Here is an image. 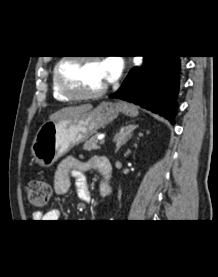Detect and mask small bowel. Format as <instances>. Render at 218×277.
<instances>
[{
	"instance_id": "1",
	"label": "small bowel",
	"mask_w": 218,
	"mask_h": 277,
	"mask_svg": "<svg viewBox=\"0 0 218 277\" xmlns=\"http://www.w3.org/2000/svg\"><path fill=\"white\" fill-rule=\"evenodd\" d=\"M105 158V157H104ZM89 170H96L104 177H110L111 164L99 162L98 157L89 160H80L74 157L63 159L54 174V190L58 195L68 192L71 186L72 177L75 178V188L79 199L82 202L89 203L91 195L87 187L84 174ZM60 217L59 209H51L46 212H35L33 219L35 222H55Z\"/></svg>"
}]
</instances>
